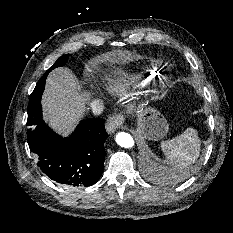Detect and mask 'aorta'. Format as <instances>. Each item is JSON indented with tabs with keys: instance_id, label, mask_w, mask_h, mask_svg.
<instances>
[{
	"instance_id": "1",
	"label": "aorta",
	"mask_w": 233,
	"mask_h": 233,
	"mask_svg": "<svg viewBox=\"0 0 233 233\" xmlns=\"http://www.w3.org/2000/svg\"><path fill=\"white\" fill-rule=\"evenodd\" d=\"M116 143L124 148H131L134 146V139L132 136L125 132H120L116 135Z\"/></svg>"
}]
</instances>
